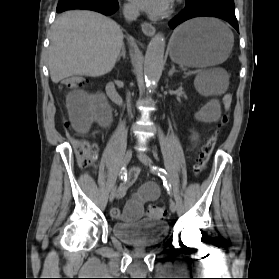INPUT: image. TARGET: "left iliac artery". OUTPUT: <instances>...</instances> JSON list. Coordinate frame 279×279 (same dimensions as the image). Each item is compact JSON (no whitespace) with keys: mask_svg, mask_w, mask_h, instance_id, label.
Returning <instances> with one entry per match:
<instances>
[{"mask_svg":"<svg viewBox=\"0 0 279 279\" xmlns=\"http://www.w3.org/2000/svg\"><path fill=\"white\" fill-rule=\"evenodd\" d=\"M151 172L157 174L163 180V185L165 186L169 194H172V188L170 183L168 182V175L166 170L157 166H151Z\"/></svg>","mask_w":279,"mask_h":279,"instance_id":"1","label":"left iliac artery"}]
</instances>
